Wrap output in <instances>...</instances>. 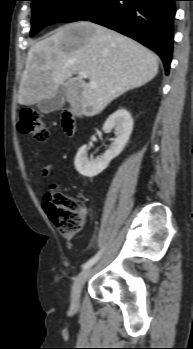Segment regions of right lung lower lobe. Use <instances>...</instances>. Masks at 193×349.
<instances>
[{
    "label": "right lung lower lobe",
    "mask_w": 193,
    "mask_h": 349,
    "mask_svg": "<svg viewBox=\"0 0 193 349\" xmlns=\"http://www.w3.org/2000/svg\"><path fill=\"white\" fill-rule=\"evenodd\" d=\"M176 0H101L81 20L103 25L153 49L166 73L172 57Z\"/></svg>",
    "instance_id": "obj_1"
}]
</instances>
